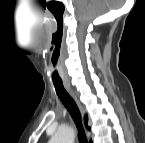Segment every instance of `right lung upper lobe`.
<instances>
[{
  "label": "right lung upper lobe",
  "mask_w": 145,
  "mask_h": 143,
  "mask_svg": "<svg viewBox=\"0 0 145 143\" xmlns=\"http://www.w3.org/2000/svg\"><path fill=\"white\" fill-rule=\"evenodd\" d=\"M85 122L87 123V116H85ZM89 129V128H88Z\"/></svg>",
  "instance_id": "obj_1"
}]
</instances>
